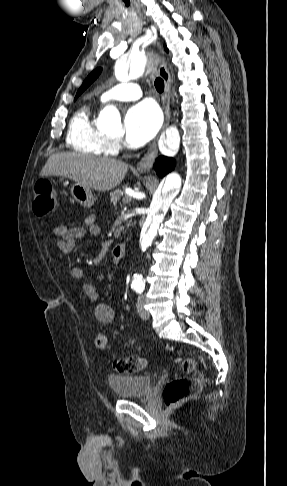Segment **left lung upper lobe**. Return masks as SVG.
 Masks as SVG:
<instances>
[{
	"label": "left lung upper lobe",
	"mask_w": 287,
	"mask_h": 486,
	"mask_svg": "<svg viewBox=\"0 0 287 486\" xmlns=\"http://www.w3.org/2000/svg\"><path fill=\"white\" fill-rule=\"evenodd\" d=\"M101 70H102L101 68H98L88 75V77L85 79V81L83 82V84L79 88V90L76 94V98L99 76V74L101 73Z\"/></svg>",
	"instance_id": "left-lung-upper-lobe-1"
}]
</instances>
